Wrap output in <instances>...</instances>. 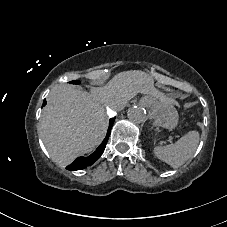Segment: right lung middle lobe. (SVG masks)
I'll return each mask as SVG.
<instances>
[{
  "instance_id": "dd1d6c3e",
  "label": "right lung middle lobe",
  "mask_w": 227,
  "mask_h": 227,
  "mask_svg": "<svg viewBox=\"0 0 227 227\" xmlns=\"http://www.w3.org/2000/svg\"><path fill=\"white\" fill-rule=\"evenodd\" d=\"M72 84H80L79 81H71Z\"/></svg>"
}]
</instances>
